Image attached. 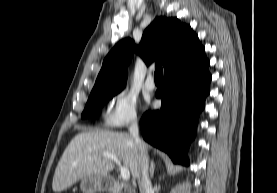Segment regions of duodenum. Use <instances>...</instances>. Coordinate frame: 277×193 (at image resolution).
<instances>
[{"label":"duodenum","mask_w":277,"mask_h":193,"mask_svg":"<svg viewBox=\"0 0 277 193\" xmlns=\"http://www.w3.org/2000/svg\"><path fill=\"white\" fill-rule=\"evenodd\" d=\"M104 187L109 189V190H111V191H113V190L116 189L117 185H116V183L114 181H106L104 183Z\"/></svg>","instance_id":"1"}]
</instances>
